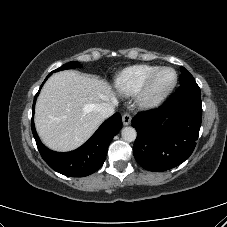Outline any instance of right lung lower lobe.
Masks as SVG:
<instances>
[{"instance_id": "1", "label": "right lung lower lobe", "mask_w": 227, "mask_h": 227, "mask_svg": "<svg viewBox=\"0 0 227 227\" xmlns=\"http://www.w3.org/2000/svg\"><path fill=\"white\" fill-rule=\"evenodd\" d=\"M51 74L52 72L47 76V78ZM38 94L39 92L34 98L32 108L33 113ZM121 127V115L120 113H115L107 119L93 136L81 147L71 152L59 153L48 149L42 144L36 133L33 119L31 124L33 136L44 161L53 170L70 177H84L97 171L105 161L107 149L111 140L119 132Z\"/></svg>"}]
</instances>
